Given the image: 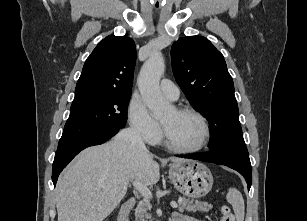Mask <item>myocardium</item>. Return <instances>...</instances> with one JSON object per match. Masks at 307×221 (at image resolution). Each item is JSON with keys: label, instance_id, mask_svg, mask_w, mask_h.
Instances as JSON below:
<instances>
[{"label": "myocardium", "instance_id": "1", "mask_svg": "<svg viewBox=\"0 0 307 221\" xmlns=\"http://www.w3.org/2000/svg\"><path fill=\"white\" fill-rule=\"evenodd\" d=\"M180 114H190L195 116L201 123L203 128L202 138L198 144L192 147H178L172 144L168 138L166 129L163 125V143L172 152L180 154H190L202 150L208 143L211 135L210 125L208 119L197 109L192 107H180L175 109Z\"/></svg>", "mask_w": 307, "mask_h": 221}]
</instances>
